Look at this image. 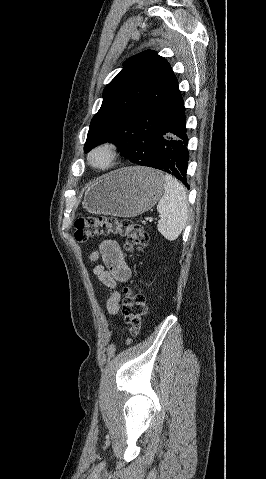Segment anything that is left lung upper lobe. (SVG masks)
Here are the masks:
<instances>
[{
	"instance_id": "left-lung-upper-lobe-1",
	"label": "left lung upper lobe",
	"mask_w": 266,
	"mask_h": 479,
	"mask_svg": "<svg viewBox=\"0 0 266 479\" xmlns=\"http://www.w3.org/2000/svg\"><path fill=\"white\" fill-rule=\"evenodd\" d=\"M178 93L176 76L163 57L152 50L130 57L104 89L84 151L111 142L131 162L149 163L163 119Z\"/></svg>"
}]
</instances>
